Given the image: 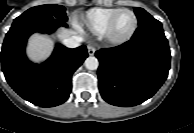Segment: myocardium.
I'll use <instances>...</instances> for the list:
<instances>
[{"label": "myocardium", "instance_id": "obj_1", "mask_svg": "<svg viewBox=\"0 0 194 133\" xmlns=\"http://www.w3.org/2000/svg\"><path fill=\"white\" fill-rule=\"evenodd\" d=\"M123 12H129L132 14L133 18H134V24H133V27L131 29V31L124 37H115L113 34H112V28H113V25L117 19V17L123 13ZM137 27H138V18L135 14V12L131 9H128V8H120L119 10H117L110 18L109 20L107 21L106 25H105V28L102 32V36L109 42V43H112V44H115V45H122L126 42H128L132 37L133 35L135 34L136 30H137Z\"/></svg>", "mask_w": 194, "mask_h": 133}]
</instances>
